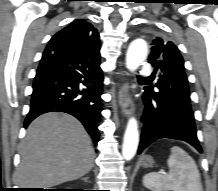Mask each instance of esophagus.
I'll return each instance as SVG.
<instances>
[{
    "instance_id": "obj_1",
    "label": "esophagus",
    "mask_w": 218,
    "mask_h": 191,
    "mask_svg": "<svg viewBox=\"0 0 218 191\" xmlns=\"http://www.w3.org/2000/svg\"><path fill=\"white\" fill-rule=\"evenodd\" d=\"M130 96H129V87L128 83L124 82L118 91V104L121 109L122 114L129 116L130 111Z\"/></svg>"
}]
</instances>
